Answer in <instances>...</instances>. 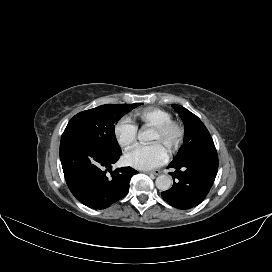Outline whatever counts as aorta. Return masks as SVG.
<instances>
[{"instance_id": "aorta-1", "label": "aorta", "mask_w": 272, "mask_h": 272, "mask_svg": "<svg viewBox=\"0 0 272 272\" xmlns=\"http://www.w3.org/2000/svg\"><path fill=\"white\" fill-rule=\"evenodd\" d=\"M138 139L141 143L147 142L151 140V131L149 129H145L138 134ZM156 187L161 191H166L170 189L172 184V179L168 175H160L156 178Z\"/></svg>"}]
</instances>
